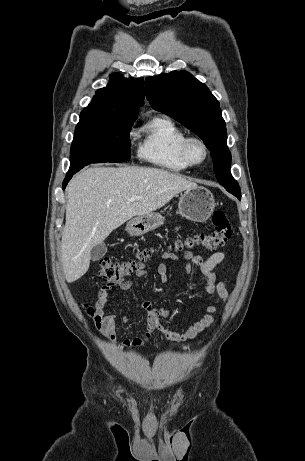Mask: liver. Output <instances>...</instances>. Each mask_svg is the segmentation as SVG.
Here are the masks:
<instances>
[{
  "label": "liver",
  "instance_id": "obj_1",
  "mask_svg": "<svg viewBox=\"0 0 305 461\" xmlns=\"http://www.w3.org/2000/svg\"><path fill=\"white\" fill-rule=\"evenodd\" d=\"M194 187L196 183L156 168L97 167L78 173L68 186L62 234L61 261L67 282L87 272L92 248L114 229ZM134 195L142 198L129 201Z\"/></svg>",
  "mask_w": 305,
  "mask_h": 461
}]
</instances>
